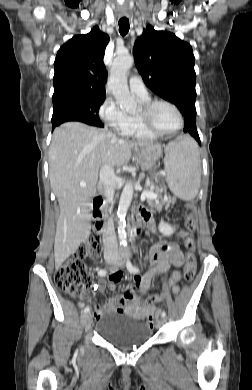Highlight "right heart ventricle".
<instances>
[{
  "instance_id": "1",
  "label": "right heart ventricle",
  "mask_w": 252,
  "mask_h": 390,
  "mask_svg": "<svg viewBox=\"0 0 252 390\" xmlns=\"http://www.w3.org/2000/svg\"><path fill=\"white\" fill-rule=\"evenodd\" d=\"M142 103H147L150 101V98L148 97L147 99H141ZM130 131L128 136L132 139L135 140H140V141H147V140H152L155 139L157 136H153L149 133H147L140 125L139 120L136 115L130 116Z\"/></svg>"
}]
</instances>
